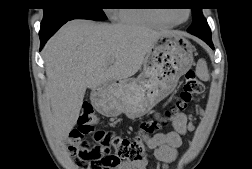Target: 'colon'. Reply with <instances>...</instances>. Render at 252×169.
Returning a JSON list of instances; mask_svg holds the SVG:
<instances>
[{"label":"colon","instance_id":"5ec220e1","mask_svg":"<svg viewBox=\"0 0 252 169\" xmlns=\"http://www.w3.org/2000/svg\"><path fill=\"white\" fill-rule=\"evenodd\" d=\"M204 86L194 70L184 75L183 89L175 106L166 111V117L187 109L194 97L203 92ZM98 117L89 104L83 106L78 126L67 138L68 150L74 156L79 169H114L124 161H141L147 153L143 138L154 134L160 127L155 120L144 121L138 134L129 138L116 131H98L94 134L96 144H91L84 136L93 133ZM113 150V152H112Z\"/></svg>","mask_w":252,"mask_h":169}]
</instances>
